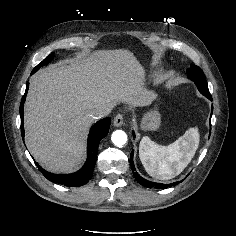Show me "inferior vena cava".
I'll use <instances>...</instances> for the list:
<instances>
[{
	"mask_svg": "<svg viewBox=\"0 0 236 236\" xmlns=\"http://www.w3.org/2000/svg\"><path fill=\"white\" fill-rule=\"evenodd\" d=\"M109 113H110L109 107L103 106V105H98V106L93 107L90 110L89 115L93 119H99V118L107 116Z\"/></svg>",
	"mask_w": 236,
	"mask_h": 236,
	"instance_id": "obj_1",
	"label": "inferior vena cava"
}]
</instances>
